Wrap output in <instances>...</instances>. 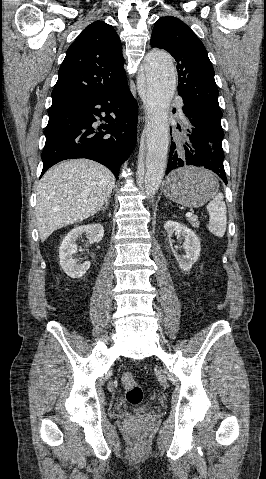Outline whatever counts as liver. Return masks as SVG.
<instances>
[{"label":"liver","instance_id":"obj_1","mask_svg":"<svg viewBox=\"0 0 266 479\" xmlns=\"http://www.w3.org/2000/svg\"><path fill=\"white\" fill-rule=\"evenodd\" d=\"M114 184L109 169L88 159L64 161L49 169L37 189L35 213L41 241L96 214L110 198Z\"/></svg>","mask_w":266,"mask_h":479}]
</instances>
